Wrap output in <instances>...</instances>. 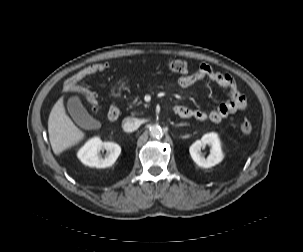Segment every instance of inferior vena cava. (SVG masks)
I'll return each instance as SVG.
<instances>
[{"instance_id":"obj_1","label":"inferior vena cava","mask_w":303,"mask_h":252,"mask_svg":"<svg viewBox=\"0 0 303 252\" xmlns=\"http://www.w3.org/2000/svg\"><path fill=\"white\" fill-rule=\"evenodd\" d=\"M139 127V121L137 118L126 117L122 121V128L125 132H133Z\"/></svg>"}]
</instances>
